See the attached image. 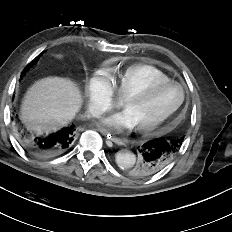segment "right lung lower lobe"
Here are the masks:
<instances>
[{"label":"right lung lower lobe","mask_w":232,"mask_h":232,"mask_svg":"<svg viewBox=\"0 0 232 232\" xmlns=\"http://www.w3.org/2000/svg\"><path fill=\"white\" fill-rule=\"evenodd\" d=\"M74 126L64 127L56 133L40 136L26 132L22 127L17 128V137L22 147L32 156L48 159L68 151L74 141Z\"/></svg>","instance_id":"right-lung-lower-lobe-1"}]
</instances>
